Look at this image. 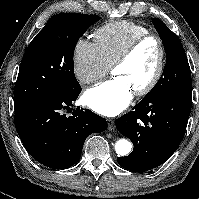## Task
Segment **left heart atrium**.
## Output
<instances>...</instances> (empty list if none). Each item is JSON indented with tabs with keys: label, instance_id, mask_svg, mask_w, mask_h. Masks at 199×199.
Wrapping results in <instances>:
<instances>
[{
	"label": "left heart atrium",
	"instance_id": "obj_1",
	"mask_svg": "<svg viewBox=\"0 0 199 199\" xmlns=\"http://www.w3.org/2000/svg\"><path fill=\"white\" fill-rule=\"evenodd\" d=\"M84 100L86 105L96 113L116 116L130 104L132 89L122 77L115 76L88 89Z\"/></svg>",
	"mask_w": 199,
	"mask_h": 199
}]
</instances>
